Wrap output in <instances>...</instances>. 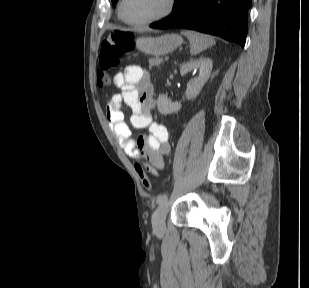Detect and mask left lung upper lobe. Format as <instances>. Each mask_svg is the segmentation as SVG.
Instances as JSON below:
<instances>
[{
	"instance_id": "obj_1",
	"label": "left lung upper lobe",
	"mask_w": 309,
	"mask_h": 288,
	"mask_svg": "<svg viewBox=\"0 0 309 288\" xmlns=\"http://www.w3.org/2000/svg\"><path fill=\"white\" fill-rule=\"evenodd\" d=\"M117 1H118V0H112L113 6L116 5Z\"/></svg>"
}]
</instances>
